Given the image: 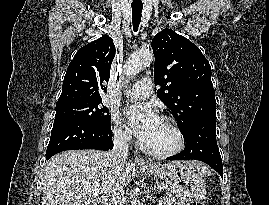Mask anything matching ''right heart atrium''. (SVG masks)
Listing matches in <instances>:
<instances>
[{
	"label": "right heart atrium",
	"instance_id": "obj_1",
	"mask_svg": "<svg viewBox=\"0 0 269 205\" xmlns=\"http://www.w3.org/2000/svg\"><path fill=\"white\" fill-rule=\"evenodd\" d=\"M111 129L114 139L121 144H128L131 141L130 134L123 127L117 116L111 117Z\"/></svg>",
	"mask_w": 269,
	"mask_h": 205
}]
</instances>
